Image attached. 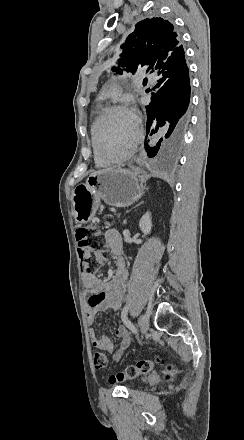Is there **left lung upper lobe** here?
Here are the masks:
<instances>
[{
	"instance_id": "1",
	"label": "left lung upper lobe",
	"mask_w": 244,
	"mask_h": 440,
	"mask_svg": "<svg viewBox=\"0 0 244 440\" xmlns=\"http://www.w3.org/2000/svg\"><path fill=\"white\" fill-rule=\"evenodd\" d=\"M123 49L119 65L134 73L138 68H147L151 73L170 64L180 62L184 49L174 26L162 18H147L135 25L134 31L121 46ZM113 71L122 74L114 67Z\"/></svg>"
}]
</instances>
